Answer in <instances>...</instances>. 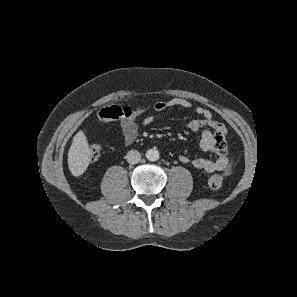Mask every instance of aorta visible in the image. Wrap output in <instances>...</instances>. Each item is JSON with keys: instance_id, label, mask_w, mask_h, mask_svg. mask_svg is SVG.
<instances>
[{"instance_id": "obj_1", "label": "aorta", "mask_w": 297, "mask_h": 297, "mask_svg": "<svg viewBox=\"0 0 297 297\" xmlns=\"http://www.w3.org/2000/svg\"><path fill=\"white\" fill-rule=\"evenodd\" d=\"M146 158L149 161H157L159 159V152L157 149L153 148V149H149L146 152Z\"/></svg>"}]
</instances>
